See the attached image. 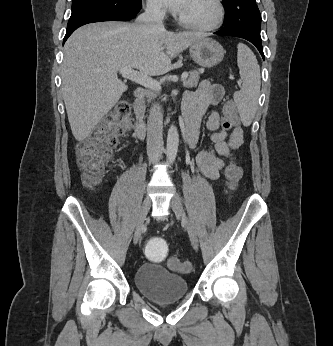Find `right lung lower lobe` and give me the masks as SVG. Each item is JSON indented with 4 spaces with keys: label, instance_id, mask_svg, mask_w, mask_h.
Wrapping results in <instances>:
<instances>
[{
    "label": "right lung lower lobe",
    "instance_id": "right-lung-lower-lobe-1",
    "mask_svg": "<svg viewBox=\"0 0 333 346\" xmlns=\"http://www.w3.org/2000/svg\"><path fill=\"white\" fill-rule=\"evenodd\" d=\"M141 9V4L139 8L129 14L126 15H102V14H91L86 15L75 22L67 25L66 35L63 40V44L68 39V37L80 26H83L88 23L101 22V21H128L136 16V14Z\"/></svg>",
    "mask_w": 333,
    "mask_h": 346
}]
</instances>
